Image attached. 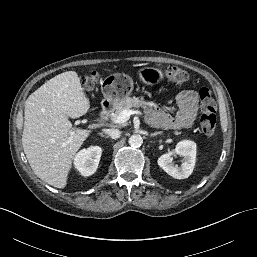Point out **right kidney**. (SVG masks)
<instances>
[{
	"instance_id": "right-kidney-1",
	"label": "right kidney",
	"mask_w": 257,
	"mask_h": 257,
	"mask_svg": "<svg viewBox=\"0 0 257 257\" xmlns=\"http://www.w3.org/2000/svg\"><path fill=\"white\" fill-rule=\"evenodd\" d=\"M102 149L99 146H91L81 150L74 159L75 168L83 176L94 174L98 168Z\"/></svg>"
}]
</instances>
